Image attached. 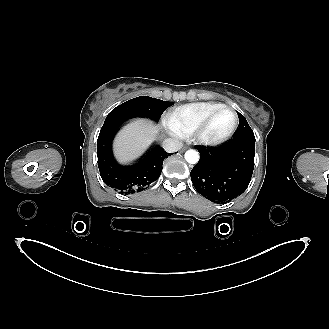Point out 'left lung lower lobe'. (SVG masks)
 Wrapping results in <instances>:
<instances>
[{
	"mask_svg": "<svg viewBox=\"0 0 329 329\" xmlns=\"http://www.w3.org/2000/svg\"><path fill=\"white\" fill-rule=\"evenodd\" d=\"M200 160L190 175L193 186L205 198L225 203L248 187L255 156V139H232L218 147L198 146Z\"/></svg>",
	"mask_w": 329,
	"mask_h": 329,
	"instance_id": "obj_1",
	"label": "left lung lower lobe"
}]
</instances>
